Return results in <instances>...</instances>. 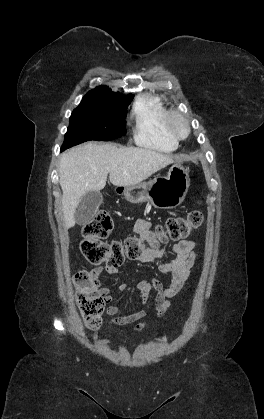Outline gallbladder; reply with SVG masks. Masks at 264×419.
<instances>
[{"label":"gallbladder","instance_id":"bac80fb5","mask_svg":"<svg viewBox=\"0 0 264 419\" xmlns=\"http://www.w3.org/2000/svg\"><path fill=\"white\" fill-rule=\"evenodd\" d=\"M102 202L103 196L99 191H88L76 207L74 214L76 223L78 225L89 223Z\"/></svg>","mask_w":264,"mask_h":419}]
</instances>
